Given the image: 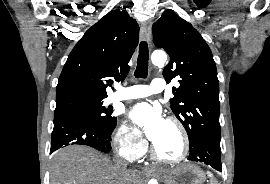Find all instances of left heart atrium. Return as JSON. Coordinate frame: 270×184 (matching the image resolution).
Masks as SVG:
<instances>
[{"instance_id": "39dd6f15", "label": "left heart atrium", "mask_w": 270, "mask_h": 184, "mask_svg": "<svg viewBox=\"0 0 270 184\" xmlns=\"http://www.w3.org/2000/svg\"><path fill=\"white\" fill-rule=\"evenodd\" d=\"M129 119L136 131L142 132L153 143L159 140L167 124L161 111L147 103L135 105L129 112Z\"/></svg>"}]
</instances>
